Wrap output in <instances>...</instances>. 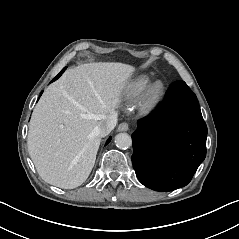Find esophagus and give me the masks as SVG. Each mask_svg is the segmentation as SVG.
Masks as SVG:
<instances>
[{"label":"esophagus","instance_id":"esophagus-1","mask_svg":"<svg viewBox=\"0 0 239 239\" xmlns=\"http://www.w3.org/2000/svg\"><path fill=\"white\" fill-rule=\"evenodd\" d=\"M129 129V125L127 123H121L119 126H118V131L119 132H125V131H128Z\"/></svg>","mask_w":239,"mask_h":239}]
</instances>
